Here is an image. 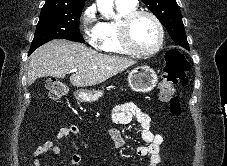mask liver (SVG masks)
Returning a JSON list of instances; mask_svg holds the SVG:
<instances>
[{
  "label": "liver",
  "mask_w": 227,
  "mask_h": 166,
  "mask_svg": "<svg viewBox=\"0 0 227 166\" xmlns=\"http://www.w3.org/2000/svg\"><path fill=\"white\" fill-rule=\"evenodd\" d=\"M135 63L125 57L99 53L81 43L53 40L32 54L27 80L31 85L40 77L64 78L76 68L77 72L70 76V83L75 87H89L105 82Z\"/></svg>",
  "instance_id": "liver-1"
}]
</instances>
